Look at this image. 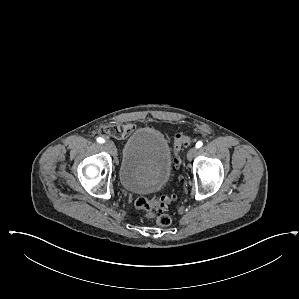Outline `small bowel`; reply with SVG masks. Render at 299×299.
<instances>
[{
	"mask_svg": "<svg viewBox=\"0 0 299 299\" xmlns=\"http://www.w3.org/2000/svg\"><path fill=\"white\" fill-rule=\"evenodd\" d=\"M135 130V125L133 123H123L118 125H110L107 131L112 136L123 139L129 136Z\"/></svg>",
	"mask_w": 299,
	"mask_h": 299,
	"instance_id": "obj_1",
	"label": "small bowel"
}]
</instances>
